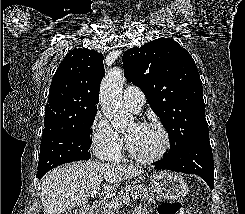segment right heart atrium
<instances>
[{
	"instance_id": "right-heart-atrium-1",
	"label": "right heart atrium",
	"mask_w": 245,
	"mask_h": 214,
	"mask_svg": "<svg viewBox=\"0 0 245 214\" xmlns=\"http://www.w3.org/2000/svg\"><path fill=\"white\" fill-rule=\"evenodd\" d=\"M92 149L101 160H115L122 149V139L113 129L109 121L96 113L90 127Z\"/></svg>"
}]
</instances>
